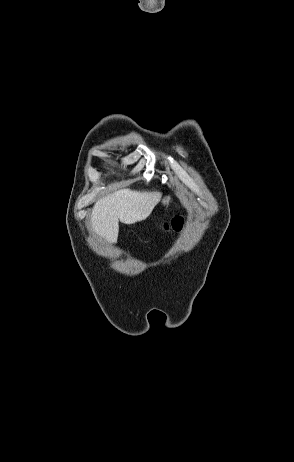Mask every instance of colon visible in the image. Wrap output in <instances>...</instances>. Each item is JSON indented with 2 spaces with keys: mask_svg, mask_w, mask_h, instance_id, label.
<instances>
[{
  "mask_svg": "<svg viewBox=\"0 0 294 462\" xmlns=\"http://www.w3.org/2000/svg\"><path fill=\"white\" fill-rule=\"evenodd\" d=\"M182 224H183L182 218L175 217L171 221L165 222L162 227L165 230L171 229V230H174V231H179L181 229V227H182Z\"/></svg>",
  "mask_w": 294,
  "mask_h": 462,
  "instance_id": "1",
  "label": "colon"
}]
</instances>
